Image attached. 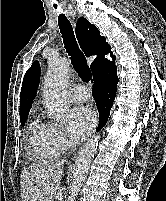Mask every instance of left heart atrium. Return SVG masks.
<instances>
[{
  "label": "left heart atrium",
  "instance_id": "left-heart-atrium-1",
  "mask_svg": "<svg viewBox=\"0 0 166 201\" xmlns=\"http://www.w3.org/2000/svg\"><path fill=\"white\" fill-rule=\"evenodd\" d=\"M95 123V112L89 106H76L69 113V129L74 141L84 139Z\"/></svg>",
  "mask_w": 166,
  "mask_h": 201
}]
</instances>
